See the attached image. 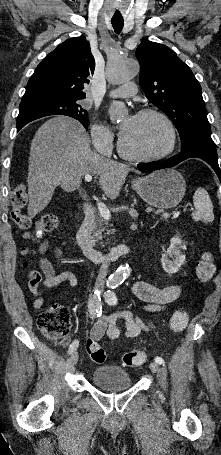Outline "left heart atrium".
Returning <instances> with one entry per match:
<instances>
[{
	"mask_svg": "<svg viewBox=\"0 0 221 455\" xmlns=\"http://www.w3.org/2000/svg\"><path fill=\"white\" fill-rule=\"evenodd\" d=\"M129 122L124 123L120 128V136H123L128 130Z\"/></svg>",
	"mask_w": 221,
	"mask_h": 455,
	"instance_id": "1",
	"label": "left heart atrium"
}]
</instances>
